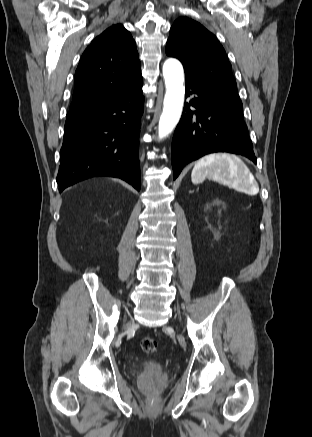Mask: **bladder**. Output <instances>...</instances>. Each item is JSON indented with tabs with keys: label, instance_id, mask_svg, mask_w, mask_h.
I'll return each instance as SVG.
<instances>
[{
	"label": "bladder",
	"instance_id": "1",
	"mask_svg": "<svg viewBox=\"0 0 312 437\" xmlns=\"http://www.w3.org/2000/svg\"><path fill=\"white\" fill-rule=\"evenodd\" d=\"M161 366L156 362H146L142 366V372L146 375H153L160 371Z\"/></svg>",
	"mask_w": 312,
	"mask_h": 437
}]
</instances>
